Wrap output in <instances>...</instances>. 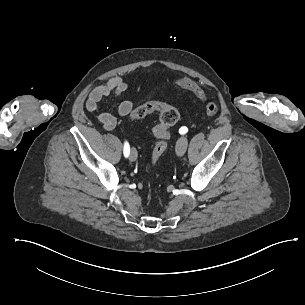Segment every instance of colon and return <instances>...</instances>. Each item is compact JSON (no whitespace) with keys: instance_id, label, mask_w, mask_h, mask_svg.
I'll use <instances>...</instances> for the list:
<instances>
[{"instance_id":"1","label":"colon","mask_w":305,"mask_h":305,"mask_svg":"<svg viewBox=\"0 0 305 305\" xmlns=\"http://www.w3.org/2000/svg\"><path fill=\"white\" fill-rule=\"evenodd\" d=\"M149 83L154 84L156 87H174L176 86L177 81L174 78L159 79L157 77H153L150 79ZM178 84L181 87L185 86V88L189 89L190 92L195 93L196 97L204 102L206 111L209 115H215L218 112L217 105L212 102H207L202 90L198 89L197 85L193 84L192 80L182 77L179 79ZM152 113L159 114L158 122L152 129L154 137L158 139L151 152V160L154 164L161 158L168 148L170 139L169 129L178 120L179 112L172 105L161 100H156L145 103L134 109L132 118L134 120H139Z\"/></svg>"}]
</instances>
